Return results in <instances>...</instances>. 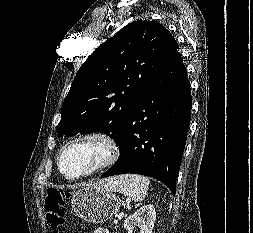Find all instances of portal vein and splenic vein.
Returning a JSON list of instances; mask_svg holds the SVG:
<instances>
[{
	"label": "portal vein and splenic vein",
	"instance_id": "1",
	"mask_svg": "<svg viewBox=\"0 0 253 233\" xmlns=\"http://www.w3.org/2000/svg\"><path fill=\"white\" fill-rule=\"evenodd\" d=\"M124 216V213L122 212V213H120L119 214V216H118V218H122ZM114 224H117L118 223V219H114Z\"/></svg>",
	"mask_w": 253,
	"mask_h": 233
}]
</instances>
